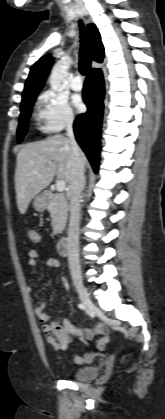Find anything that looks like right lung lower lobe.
<instances>
[{
  "instance_id": "1",
  "label": "right lung lower lobe",
  "mask_w": 165,
  "mask_h": 419,
  "mask_svg": "<svg viewBox=\"0 0 165 419\" xmlns=\"http://www.w3.org/2000/svg\"><path fill=\"white\" fill-rule=\"evenodd\" d=\"M105 87L100 69L90 71L83 88V100L88 111L76 117L74 133L76 140L97 172L100 152V132L104 110Z\"/></svg>"
}]
</instances>
